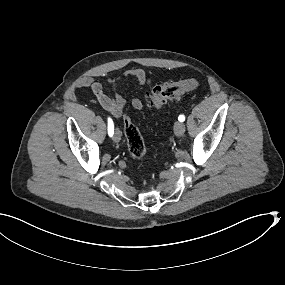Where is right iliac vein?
Here are the masks:
<instances>
[{
	"label": "right iliac vein",
	"instance_id": "right-iliac-vein-1",
	"mask_svg": "<svg viewBox=\"0 0 285 285\" xmlns=\"http://www.w3.org/2000/svg\"><path fill=\"white\" fill-rule=\"evenodd\" d=\"M121 139V135H120V131L118 129L115 130L114 136H113V140L115 142H119Z\"/></svg>",
	"mask_w": 285,
	"mask_h": 285
}]
</instances>
